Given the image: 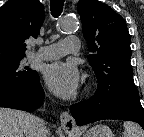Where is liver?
<instances>
[{
    "label": "liver",
    "instance_id": "6515ba94",
    "mask_svg": "<svg viewBox=\"0 0 144 137\" xmlns=\"http://www.w3.org/2000/svg\"><path fill=\"white\" fill-rule=\"evenodd\" d=\"M43 125L30 113L0 108V137H42Z\"/></svg>",
    "mask_w": 144,
    "mask_h": 137
}]
</instances>
